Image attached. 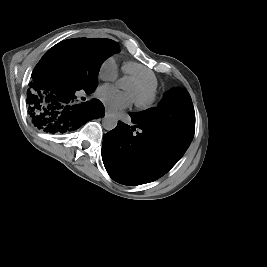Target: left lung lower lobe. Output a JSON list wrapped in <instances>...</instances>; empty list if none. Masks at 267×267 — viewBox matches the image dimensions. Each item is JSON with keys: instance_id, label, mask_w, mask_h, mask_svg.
Segmentation results:
<instances>
[{"instance_id": "1", "label": "left lung lower lobe", "mask_w": 267, "mask_h": 267, "mask_svg": "<svg viewBox=\"0 0 267 267\" xmlns=\"http://www.w3.org/2000/svg\"><path fill=\"white\" fill-rule=\"evenodd\" d=\"M118 122L104 136L102 159L116 182L125 185L154 181L167 173L183 156L192 140L163 128ZM135 128L141 131L133 133Z\"/></svg>"}]
</instances>
